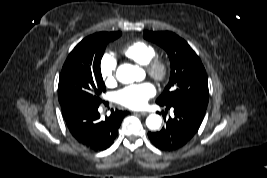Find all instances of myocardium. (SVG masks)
Returning <instances> with one entry per match:
<instances>
[{
	"label": "myocardium",
	"mask_w": 267,
	"mask_h": 178,
	"mask_svg": "<svg viewBox=\"0 0 267 178\" xmlns=\"http://www.w3.org/2000/svg\"><path fill=\"white\" fill-rule=\"evenodd\" d=\"M147 74L157 82H163L169 75V62L162 56L155 55L144 65Z\"/></svg>",
	"instance_id": "obj_1"
}]
</instances>
